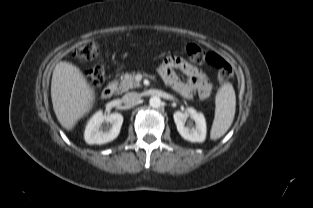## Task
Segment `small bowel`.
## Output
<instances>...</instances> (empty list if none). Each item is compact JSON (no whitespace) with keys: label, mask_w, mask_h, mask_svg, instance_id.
I'll use <instances>...</instances> for the list:
<instances>
[{"label":"small bowel","mask_w":313,"mask_h":208,"mask_svg":"<svg viewBox=\"0 0 313 208\" xmlns=\"http://www.w3.org/2000/svg\"><path fill=\"white\" fill-rule=\"evenodd\" d=\"M182 71L187 81H181L175 70ZM163 80L184 98H191L198 94L201 98L209 97L212 91V84L206 75L184 59L179 57H168L159 68Z\"/></svg>","instance_id":"1"}]
</instances>
